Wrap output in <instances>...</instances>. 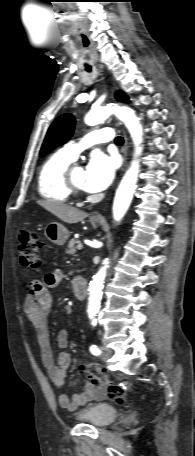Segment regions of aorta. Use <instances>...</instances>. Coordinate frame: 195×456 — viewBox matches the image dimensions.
<instances>
[{
	"mask_svg": "<svg viewBox=\"0 0 195 456\" xmlns=\"http://www.w3.org/2000/svg\"><path fill=\"white\" fill-rule=\"evenodd\" d=\"M111 114H115L124 122L134 144V158L117 188L113 202V218L118 222L124 217L128 210L135 192L140 168L139 156L143 150V129L139 118L131 108L112 104L91 110L85 117V123L90 126L97 125L107 119ZM107 268L108 260L106 259L105 265L93 276V280L91 281L87 310L90 317L95 316L100 309L102 289Z\"/></svg>",
	"mask_w": 195,
	"mask_h": 456,
	"instance_id": "1",
	"label": "aorta"
}]
</instances>
